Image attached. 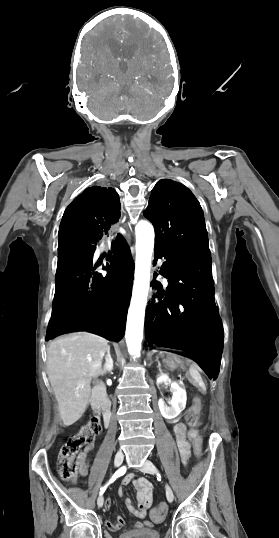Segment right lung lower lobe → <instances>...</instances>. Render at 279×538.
Segmentation results:
<instances>
[{"label":"right lung lower lobe","instance_id":"right-lung-lower-lobe-1","mask_svg":"<svg viewBox=\"0 0 279 538\" xmlns=\"http://www.w3.org/2000/svg\"><path fill=\"white\" fill-rule=\"evenodd\" d=\"M120 207L113 188L93 186L65 210L58 233L56 289L47 339L89 330L116 341L124 336L134 262L116 228ZM106 238L112 244L109 263L103 267L107 274H102L95 271L92 259L97 243Z\"/></svg>","mask_w":279,"mask_h":538}]
</instances>
